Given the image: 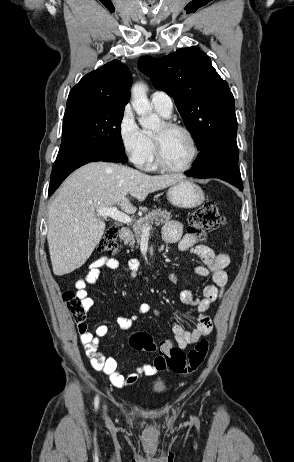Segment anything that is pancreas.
Returning <instances> with one entry per match:
<instances>
[{
  "label": "pancreas",
  "instance_id": "cf45deb5",
  "mask_svg": "<svg viewBox=\"0 0 294 462\" xmlns=\"http://www.w3.org/2000/svg\"><path fill=\"white\" fill-rule=\"evenodd\" d=\"M172 215L167 210L156 209L148 212L144 217L137 220L136 225L133 226V233H129L125 242L133 246L135 242L139 243L143 235V228L150 227L152 224L160 225L168 222Z\"/></svg>",
  "mask_w": 294,
  "mask_h": 462
}]
</instances>
